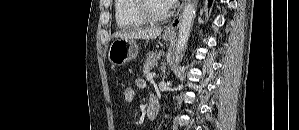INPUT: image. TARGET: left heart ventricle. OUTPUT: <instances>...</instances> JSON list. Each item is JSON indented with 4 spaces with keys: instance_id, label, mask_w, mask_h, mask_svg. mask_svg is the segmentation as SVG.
Listing matches in <instances>:
<instances>
[{
    "instance_id": "b2bd125f",
    "label": "left heart ventricle",
    "mask_w": 299,
    "mask_h": 130,
    "mask_svg": "<svg viewBox=\"0 0 299 130\" xmlns=\"http://www.w3.org/2000/svg\"><path fill=\"white\" fill-rule=\"evenodd\" d=\"M150 7L156 14H163L166 11V3L164 1H153L150 3Z\"/></svg>"
}]
</instances>
